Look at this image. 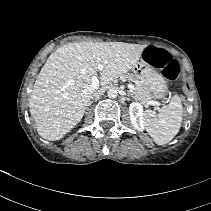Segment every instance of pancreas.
<instances>
[{
    "label": "pancreas",
    "instance_id": "pancreas-1",
    "mask_svg": "<svg viewBox=\"0 0 211 211\" xmlns=\"http://www.w3.org/2000/svg\"><path fill=\"white\" fill-rule=\"evenodd\" d=\"M124 78L134 83V90L131 92L136 100L146 103L152 98L150 89L141 81L136 79L133 75H125Z\"/></svg>",
    "mask_w": 211,
    "mask_h": 211
}]
</instances>
